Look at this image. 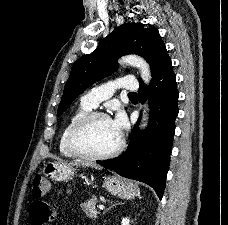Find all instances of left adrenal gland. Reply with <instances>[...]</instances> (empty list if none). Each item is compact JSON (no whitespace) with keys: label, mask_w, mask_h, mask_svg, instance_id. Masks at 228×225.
<instances>
[{"label":"left adrenal gland","mask_w":228,"mask_h":225,"mask_svg":"<svg viewBox=\"0 0 228 225\" xmlns=\"http://www.w3.org/2000/svg\"><path fill=\"white\" fill-rule=\"evenodd\" d=\"M118 205H122V203H118ZM112 207H115V205H112ZM112 207H109V209H112Z\"/></svg>","instance_id":"obj_1"}]
</instances>
